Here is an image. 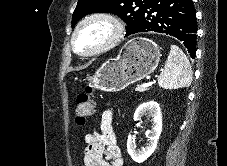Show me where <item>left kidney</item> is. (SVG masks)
Listing matches in <instances>:
<instances>
[{
    "label": "left kidney",
    "instance_id": "1",
    "mask_svg": "<svg viewBox=\"0 0 227 166\" xmlns=\"http://www.w3.org/2000/svg\"><path fill=\"white\" fill-rule=\"evenodd\" d=\"M144 115L152 117V129L149 133V143L141 150L136 148L135 142L129 134L127 139V151L131 158L137 162L142 163L147 160L155 151L162 131V114L160 106L155 101H148L139 105L134 113V121H139Z\"/></svg>",
    "mask_w": 227,
    "mask_h": 166
}]
</instances>
